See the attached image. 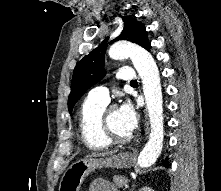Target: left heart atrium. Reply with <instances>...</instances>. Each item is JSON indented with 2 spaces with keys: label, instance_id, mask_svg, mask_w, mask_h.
Listing matches in <instances>:
<instances>
[{
  "label": "left heart atrium",
  "instance_id": "left-heart-atrium-1",
  "mask_svg": "<svg viewBox=\"0 0 221 191\" xmlns=\"http://www.w3.org/2000/svg\"><path fill=\"white\" fill-rule=\"evenodd\" d=\"M122 125L126 131L132 133L136 130L139 122L138 114L130 102H125L119 109Z\"/></svg>",
  "mask_w": 221,
  "mask_h": 191
}]
</instances>
